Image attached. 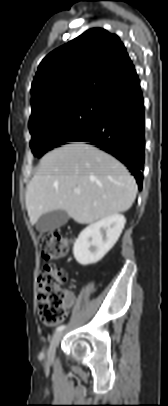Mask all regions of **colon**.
Returning <instances> with one entry per match:
<instances>
[{
    "instance_id": "5ec220e1",
    "label": "colon",
    "mask_w": 168,
    "mask_h": 406,
    "mask_svg": "<svg viewBox=\"0 0 168 406\" xmlns=\"http://www.w3.org/2000/svg\"><path fill=\"white\" fill-rule=\"evenodd\" d=\"M42 258L52 261L64 257L70 251L71 242L59 231L39 235ZM67 281L64 270L46 265L38 274L36 284L37 308L41 321L48 325L60 323L65 315V289Z\"/></svg>"
}]
</instances>
